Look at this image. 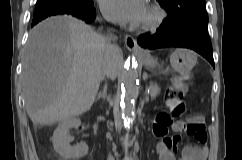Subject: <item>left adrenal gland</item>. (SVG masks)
Here are the masks:
<instances>
[{"instance_id":"a2214340","label":"left adrenal gland","mask_w":242,"mask_h":160,"mask_svg":"<svg viewBox=\"0 0 242 160\" xmlns=\"http://www.w3.org/2000/svg\"><path fill=\"white\" fill-rule=\"evenodd\" d=\"M148 100V95H146V101Z\"/></svg>"}]
</instances>
